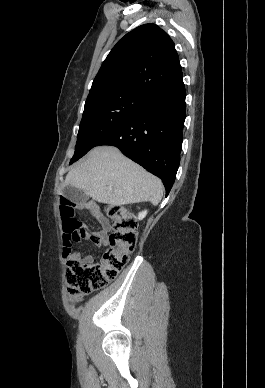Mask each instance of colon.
Here are the masks:
<instances>
[{
    "label": "colon",
    "instance_id": "5ec220e1",
    "mask_svg": "<svg viewBox=\"0 0 265 388\" xmlns=\"http://www.w3.org/2000/svg\"><path fill=\"white\" fill-rule=\"evenodd\" d=\"M60 214L63 225V256L66 261L68 294L75 300L99 290L116 278L126 266L130 254L135 250L136 223L123 206L110 205L106 214L113 223L109 235L110 247L98 263L87 264L72 254V244L88 238V232L74 216V204L67 198L60 199Z\"/></svg>",
    "mask_w": 265,
    "mask_h": 388
}]
</instances>
